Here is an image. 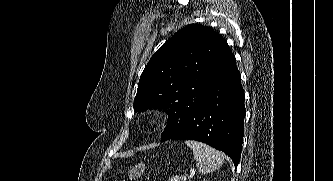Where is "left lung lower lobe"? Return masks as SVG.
I'll use <instances>...</instances> for the list:
<instances>
[{
    "label": "left lung lower lobe",
    "instance_id": "left-lung-lower-lobe-1",
    "mask_svg": "<svg viewBox=\"0 0 333 181\" xmlns=\"http://www.w3.org/2000/svg\"><path fill=\"white\" fill-rule=\"evenodd\" d=\"M244 90L235 63L214 82L202 104L169 122L167 140H196L226 153L238 166L244 135Z\"/></svg>",
    "mask_w": 333,
    "mask_h": 181
}]
</instances>
